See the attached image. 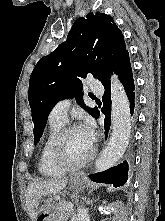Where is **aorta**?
<instances>
[{"mask_svg": "<svg viewBox=\"0 0 165 221\" xmlns=\"http://www.w3.org/2000/svg\"><path fill=\"white\" fill-rule=\"evenodd\" d=\"M112 134L110 141L95 162V171L101 172L115 165L123 156L131 134L129 100L116 75L111 76ZM76 221H90L88 210L80 207Z\"/></svg>", "mask_w": 165, "mask_h": 221, "instance_id": "aorta-1", "label": "aorta"}]
</instances>
